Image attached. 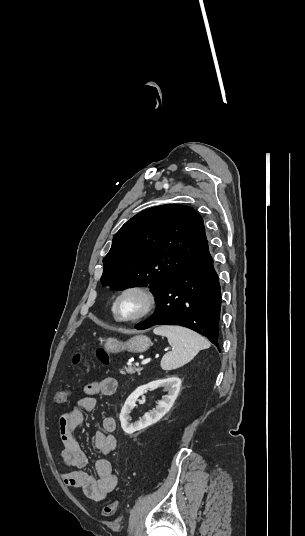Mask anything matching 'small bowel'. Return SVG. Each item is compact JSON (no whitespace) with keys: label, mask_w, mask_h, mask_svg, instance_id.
Masks as SVG:
<instances>
[{"label":"small bowel","mask_w":305,"mask_h":536,"mask_svg":"<svg viewBox=\"0 0 305 536\" xmlns=\"http://www.w3.org/2000/svg\"><path fill=\"white\" fill-rule=\"evenodd\" d=\"M86 396L59 418V435L62 444L61 458L68 471L63 474L66 485L81 488L93 501L104 500L117 486L118 478L112 464L107 458H100L95 463L97 477L86 469L87 458L75 439L74 431L83 421V412L92 411L96 406V396H109L116 392L117 381L113 377H104L85 386ZM115 420L106 417L102 420V429L93 435L94 447L103 455L111 454L116 448Z\"/></svg>","instance_id":"1"}]
</instances>
